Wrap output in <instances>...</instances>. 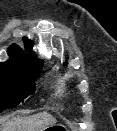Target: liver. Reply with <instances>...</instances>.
Returning <instances> with one entry per match:
<instances>
[{
    "instance_id": "1",
    "label": "liver",
    "mask_w": 117,
    "mask_h": 131,
    "mask_svg": "<svg viewBox=\"0 0 117 131\" xmlns=\"http://www.w3.org/2000/svg\"><path fill=\"white\" fill-rule=\"evenodd\" d=\"M55 123V118L44 112L28 118H16L9 122L3 131H43Z\"/></svg>"
}]
</instances>
